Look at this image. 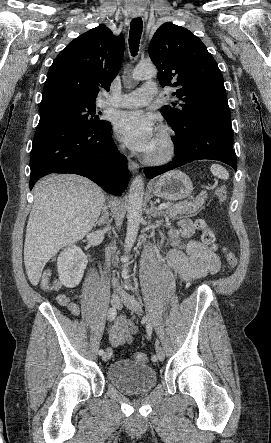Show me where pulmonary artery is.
Segmentation results:
<instances>
[{"mask_svg": "<svg viewBox=\"0 0 271 443\" xmlns=\"http://www.w3.org/2000/svg\"><path fill=\"white\" fill-rule=\"evenodd\" d=\"M157 94V89L152 82H147L139 89L130 93L108 96L103 101L102 106L121 107V108H137L149 103V101Z\"/></svg>", "mask_w": 271, "mask_h": 443, "instance_id": "obj_1", "label": "pulmonary artery"}]
</instances>
